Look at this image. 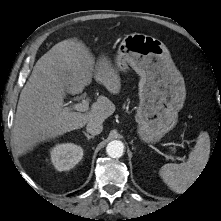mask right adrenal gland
<instances>
[{
    "label": "right adrenal gland",
    "mask_w": 221,
    "mask_h": 221,
    "mask_svg": "<svg viewBox=\"0 0 221 221\" xmlns=\"http://www.w3.org/2000/svg\"><path fill=\"white\" fill-rule=\"evenodd\" d=\"M83 134L87 137L88 140H90L91 138H94V135H89L85 131H83Z\"/></svg>",
    "instance_id": "1"
}]
</instances>
